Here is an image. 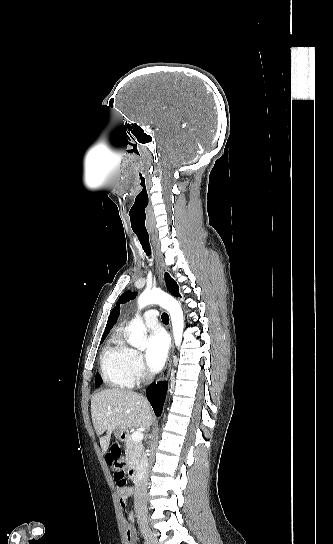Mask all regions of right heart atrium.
Returning a JSON list of instances; mask_svg holds the SVG:
<instances>
[{"label":"right heart atrium","mask_w":333,"mask_h":544,"mask_svg":"<svg viewBox=\"0 0 333 544\" xmlns=\"http://www.w3.org/2000/svg\"><path fill=\"white\" fill-rule=\"evenodd\" d=\"M128 369L134 383L140 382L148 376L142 356L134 349L128 350Z\"/></svg>","instance_id":"d8ad5b80"}]
</instances>
